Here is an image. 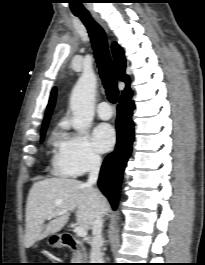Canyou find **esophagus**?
Instances as JSON below:
<instances>
[{"label": "esophagus", "mask_w": 205, "mask_h": 265, "mask_svg": "<svg viewBox=\"0 0 205 265\" xmlns=\"http://www.w3.org/2000/svg\"><path fill=\"white\" fill-rule=\"evenodd\" d=\"M93 17L107 30L105 23L103 20L98 16V14L93 13Z\"/></svg>", "instance_id": "esophagus-1"}]
</instances>
